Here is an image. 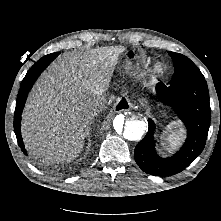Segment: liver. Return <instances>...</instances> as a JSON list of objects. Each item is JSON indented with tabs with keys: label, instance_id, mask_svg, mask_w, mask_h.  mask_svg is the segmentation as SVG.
Returning <instances> with one entry per match:
<instances>
[{
	"label": "liver",
	"instance_id": "liver-1",
	"mask_svg": "<svg viewBox=\"0 0 221 221\" xmlns=\"http://www.w3.org/2000/svg\"><path fill=\"white\" fill-rule=\"evenodd\" d=\"M125 47L67 53L36 82L22 115L27 150L45 161H71L82 151L97 101L105 99ZM106 100V99H105Z\"/></svg>",
	"mask_w": 221,
	"mask_h": 221
}]
</instances>
